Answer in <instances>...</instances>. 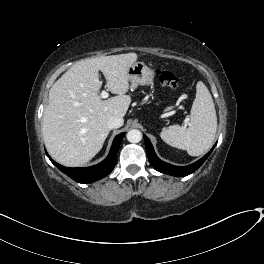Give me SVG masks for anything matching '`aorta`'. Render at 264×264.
Masks as SVG:
<instances>
[{"label":"aorta","mask_w":264,"mask_h":264,"mask_svg":"<svg viewBox=\"0 0 264 264\" xmlns=\"http://www.w3.org/2000/svg\"><path fill=\"white\" fill-rule=\"evenodd\" d=\"M142 139V133L137 129H132L127 133V140L131 143H138Z\"/></svg>","instance_id":"762f6f07"}]
</instances>
